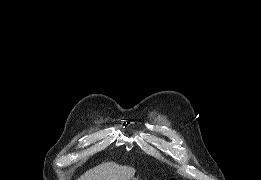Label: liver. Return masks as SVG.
Instances as JSON below:
<instances>
[{
    "instance_id": "liver-1",
    "label": "liver",
    "mask_w": 261,
    "mask_h": 180,
    "mask_svg": "<svg viewBox=\"0 0 261 180\" xmlns=\"http://www.w3.org/2000/svg\"><path fill=\"white\" fill-rule=\"evenodd\" d=\"M135 174L134 168L117 166V164H101L93 170H88L79 180H131Z\"/></svg>"
}]
</instances>
